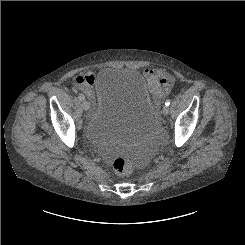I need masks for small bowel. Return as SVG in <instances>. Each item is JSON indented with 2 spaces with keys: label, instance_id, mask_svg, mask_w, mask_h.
I'll use <instances>...</instances> for the list:
<instances>
[{
  "label": "small bowel",
  "instance_id": "obj_1",
  "mask_svg": "<svg viewBox=\"0 0 245 245\" xmlns=\"http://www.w3.org/2000/svg\"><path fill=\"white\" fill-rule=\"evenodd\" d=\"M143 76L147 82L150 92L157 98L162 99L170 91L174 85V78L162 71L154 69H146ZM94 76L92 73L78 75L75 79L76 86L82 90L88 97H93L92 81ZM92 80V81H90Z\"/></svg>",
  "mask_w": 245,
  "mask_h": 245
}]
</instances>
